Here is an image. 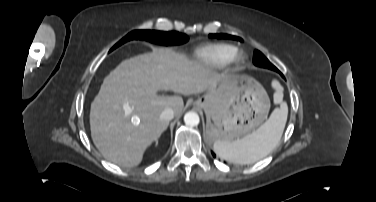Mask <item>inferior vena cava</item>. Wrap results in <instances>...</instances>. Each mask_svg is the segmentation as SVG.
I'll list each match as a JSON object with an SVG mask.
<instances>
[{
	"instance_id": "obj_1",
	"label": "inferior vena cava",
	"mask_w": 376,
	"mask_h": 202,
	"mask_svg": "<svg viewBox=\"0 0 376 202\" xmlns=\"http://www.w3.org/2000/svg\"><path fill=\"white\" fill-rule=\"evenodd\" d=\"M174 118V111L172 108H166L160 114V119L169 122Z\"/></svg>"
}]
</instances>
